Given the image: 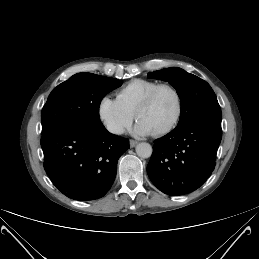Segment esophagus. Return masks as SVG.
Segmentation results:
<instances>
[{
	"mask_svg": "<svg viewBox=\"0 0 259 259\" xmlns=\"http://www.w3.org/2000/svg\"><path fill=\"white\" fill-rule=\"evenodd\" d=\"M138 144V141L136 140H130V147H135Z\"/></svg>",
	"mask_w": 259,
	"mask_h": 259,
	"instance_id": "1",
	"label": "esophagus"
}]
</instances>
